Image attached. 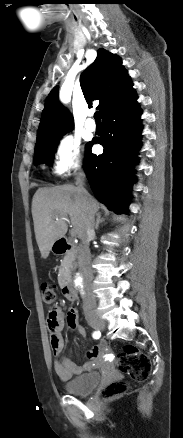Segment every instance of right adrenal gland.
Here are the masks:
<instances>
[{"instance_id": "obj_1", "label": "right adrenal gland", "mask_w": 183, "mask_h": 438, "mask_svg": "<svg viewBox=\"0 0 183 438\" xmlns=\"http://www.w3.org/2000/svg\"><path fill=\"white\" fill-rule=\"evenodd\" d=\"M96 216H97V219H96L95 229L98 230V228H99V224H100V223H103V222L105 221V219H104V218H101V213H100V212H98V213L96 214Z\"/></svg>"}]
</instances>
